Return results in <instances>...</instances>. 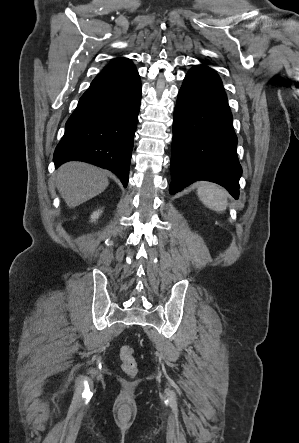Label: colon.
<instances>
[{
	"label": "colon",
	"mask_w": 299,
	"mask_h": 443,
	"mask_svg": "<svg viewBox=\"0 0 299 443\" xmlns=\"http://www.w3.org/2000/svg\"><path fill=\"white\" fill-rule=\"evenodd\" d=\"M120 358L122 361L123 371L129 376H135L138 368L133 349L128 346L122 347L120 350Z\"/></svg>",
	"instance_id": "1"
}]
</instances>
